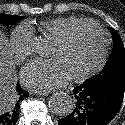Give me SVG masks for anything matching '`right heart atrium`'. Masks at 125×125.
Wrapping results in <instances>:
<instances>
[{"label":"right heart atrium","mask_w":125,"mask_h":125,"mask_svg":"<svg viewBox=\"0 0 125 125\" xmlns=\"http://www.w3.org/2000/svg\"><path fill=\"white\" fill-rule=\"evenodd\" d=\"M36 49V40L32 28L27 25L17 26L9 40V50L15 63H22L31 57Z\"/></svg>","instance_id":"right-heart-atrium-1"}]
</instances>
